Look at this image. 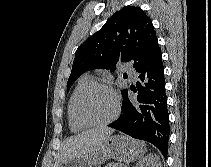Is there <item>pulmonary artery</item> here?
<instances>
[{"label":"pulmonary artery","mask_w":211,"mask_h":167,"mask_svg":"<svg viewBox=\"0 0 211 167\" xmlns=\"http://www.w3.org/2000/svg\"><path fill=\"white\" fill-rule=\"evenodd\" d=\"M126 69H127L128 71H131L130 68H128V67H127Z\"/></svg>","instance_id":"1"}]
</instances>
